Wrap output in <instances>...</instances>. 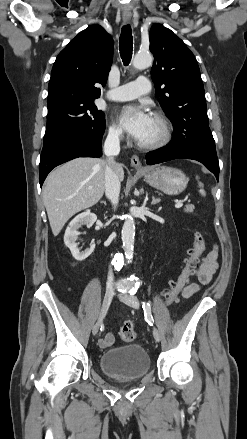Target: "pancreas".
<instances>
[{
    "label": "pancreas",
    "instance_id": "obj_1",
    "mask_svg": "<svg viewBox=\"0 0 247 439\" xmlns=\"http://www.w3.org/2000/svg\"><path fill=\"white\" fill-rule=\"evenodd\" d=\"M194 208H195L194 205L188 204V205L185 206V212L192 213Z\"/></svg>",
    "mask_w": 247,
    "mask_h": 439
}]
</instances>
